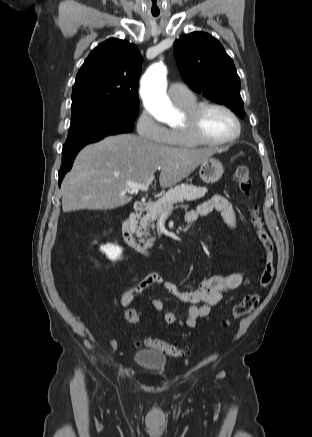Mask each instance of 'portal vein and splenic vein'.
Listing matches in <instances>:
<instances>
[{
	"label": "portal vein and splenic vein",
	"mask_w": 312,
	"mask_h": 437,
	"mask_svg": "<svg viewBox=\"0 0 312 437\" xmlns=\"http://www.w3.org/2000/svg\"><path fill=\"white\" fill-rule=\"evenodd\" d=\"M154 178H155L154 175H151L143 182H135V181L128 180L126 181L125 188L126 190H142L147 192L149 189V185L152 183ZM166 210L172 211L173 206H169Z\"/></svg>",
	"instance_id": "obj_1"
}]
</instances>
